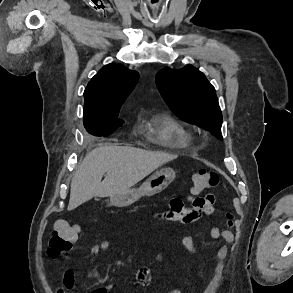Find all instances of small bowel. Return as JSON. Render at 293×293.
<instances>
[{
  "mask_svg": "<svg viewBox=\"0 0 293 293\" xmlns=\"http://www.w3.org/2000/svg\"><path fill=\"white\" fill-rule=\"evenodd\" d=\"M200 203L194 204V198L191 199V207H184V203L180 198H173L169 203L168 210L164 212L155 213L154 216L158 220L164 222H175L182 224H189L198 221L202 215L212 214L215 210V196L213 194H207L205 196L197 197ZM211 236L215 239H223L227 243L234 241V235L232 232L227 230H220L217 227L210 229ZM182 245L187 252L192 256H197L199 251L194 245L193 238L190 235H185L182 238ZM111 247V241L109 239H103L99 243L93 245L90 249V253L93 257H97L103 251L109 250ZM227 248L225 246L220 247L217 251V262L213 269L211 280L206 286L203 293H216L221 281L222 272L224 268V262L227 257ZM137 281L143 286H147L151 281V274L147 269H140L137 273ZM75 280L73 272L69 269L64 271L63 284L58 287L55 293H66V290H72L74 288ZM114 288L112 283H108L102 287L94 289L92 293H108ZM168 293H182L178 288H173Z\"/></svg>",
  "mask_w": 293,
  "mask_h": 293,
  "instance_id": "c3829d8e",
  "label": "small bowel"
}]
</instances>
